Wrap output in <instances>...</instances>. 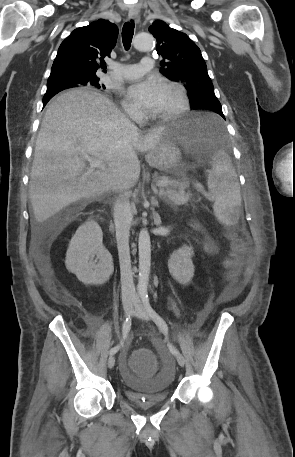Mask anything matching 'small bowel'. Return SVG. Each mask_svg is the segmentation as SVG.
Wrapping results in <instances>:
<instances>
[{"label": "small bowel", "mask_w": 295, "mask_h": 457, "mask_svg": "<svg viewBox=\"0 0 295 457\" xmlns=\"http://www.w3.org/2000/svg\"><path fill=\"white\" fill-rule=\"evenodd\" d=\"M201 248L203 249L204 252L210 253V254L216 252V250H217V247L215 246V244L207 238H204L202 240ZM240 291H241V286L237 283L232 282L226 288V296L228 298H233L236 295H238L240 293ZM171 302H172V307H173L174 313L176 315H180L181 311H180L176 301L174 299H172Z\"/></svg>", "instance_id": "1"}]
</instances>
